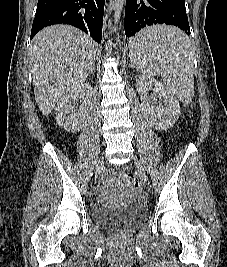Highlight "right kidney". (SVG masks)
I'll return each instance as SVG.
<instances>
[{"instance_id": "right-kidney-1", "label": "right kidney", "mask_w": 227, "mask_h": 267, "mask_svg": "<svg viewBox=\"0 0 227 267\" xmlns=\"http://www.w3.org/2000/svg\"><path fill=\"white\" fill-rule=\"evenodd\" d=\"M91 93V85L83 83L63 95L55 107V118L60 127L68 132L81 130L88 117ZM77 99L82 100L78 110L74 105Z\"/></svg>"}]
</instances>
